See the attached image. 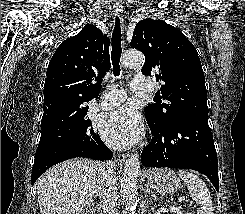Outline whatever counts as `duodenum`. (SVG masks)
Returning a JSON list of instances; mask_svg holds the SVG:
<instances>
[{"instance_id":"obj_1","label":"duodenum","mask_w":245,"mask_h":214,"mask_svg":"<svg viewBox=\"0 0 245 214\" xmlns=\"http://www.w3.org/2000/svg\"><path fill=\"white\" fill-rule=\"evenodd\" d=\"M87 214H102V213L99 208L93 206L88 209Z\"/></svg>"}]
</instances>
